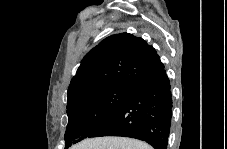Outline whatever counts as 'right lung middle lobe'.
Returning <instances> with one entry per match:
<instances>
[{"mask_svg": "<svg viewBox=\"0 0 227 149\" xmlns=\"http://www.w3.org/2000/svg\"><path fill=\"white\" fill-rule=\"evenodd\" d=\"M133 88L122 84L106 85L67 106L65 149L88 138L126 101Z\"/></svg>", "mask_w": 227, "mask_h": 149, "instance_id": "1", "label": "right lung middle lobe"}]
</instances>
